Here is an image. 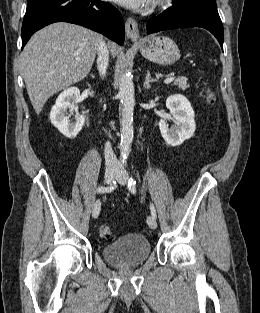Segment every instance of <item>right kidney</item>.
Here are the masks:
<instances>
[{
    "label": "right kidney",
    "mask_w": 260,
    "mask_h": 313,
    "mask_svg": "<svg viewBox=\"0 0 260 313\" xmlns=\"http://www.w3.org/2000/svg\"><path fill=\"white\" fill-rule=\"evenodd\" d=\"M79 96L80 91L77 87L64 90L56 99L50 112L51 123L67 138H75L85 123L84 115H77L74 122L67 117L68 109L75 108Z\"/></svg>",
    "instance_id": "right-kidney-1"
}]
</instances>
